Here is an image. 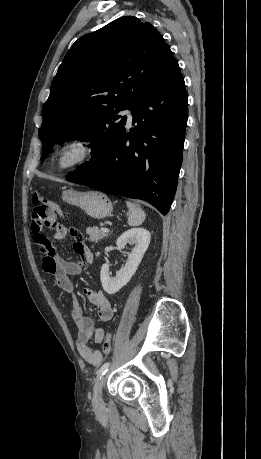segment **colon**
Masks as SVG:
<instances>
[{"label": "colon", "mask_w": 261, "mask_h": 459, "mask_svg": "<svg viewBox=\"0 0 261 459\" xmlns=\"http://www.w3.org/2000/svg\"><path fill=\"white\" fill-rule=\"evenodd\" d=\"M32 201L36 204V208L32 222L29 224V229L36 238H43L45 232L42 228L51 225L56 220V216L62 214V210L56 202L46 199L38 193L33 194ZM111 350L112 334L108 333L103 341L102 352L107 356L111 353Z\"/></svg>", "instance_id": "1"}]
</instances>
